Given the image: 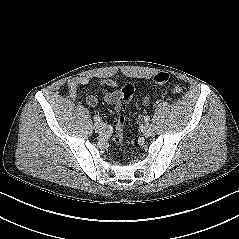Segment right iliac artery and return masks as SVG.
I'll use <instances>...</instances> for the list:
<instances>
[{
	"label": "right iliac artery",
	"mask_w": 239,
	"mask_h": 239,
	"mask_svg": "<svg viewBox=\"0 0 239 239\" xmlns=\"http://www.w3.org/2000/svg\"><path fill=\"white\" fill-rule=\"evenodd\" d=\"M94 121L96 122V123H98V122H101V119H100V117H97V116H94Z\"/></svg>",
	"instance_id": "obj_1"
}]
</instances>
